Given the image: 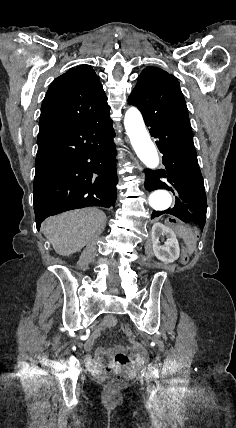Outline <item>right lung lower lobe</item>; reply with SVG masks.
<instances>
[{
	"label": "right lung lower lobe",
	"instance_id": "1",
	"mask_svg": "<svg viewBox=\"0 0 236 428\" xmlns=\"http://www.w3.org/2000/svg\"><path fill=\"white\" fill-rule=\"evenodd\" d=\"M109 113L38 136L33 185L37 229L49 216L88 206H115L116 149Z\"/></svg>",
	"mask_w": 236,
	"mask_h": 428
}]
</instances>
